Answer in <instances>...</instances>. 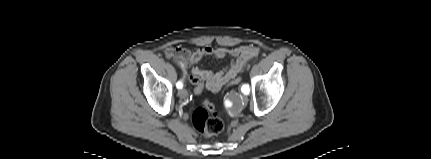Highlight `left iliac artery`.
I'll return each mask as SVG.
<instances>
[{
    "instance_id": "left-iliac-artery-1",
    "label": "left iliac artery",
    "mask_w": 431,
    "mask_h": 159,
    "mask_svg": "<svg viewBox=\"0 0 431 159\" xmlns=\"http://www.w3.org/2000/svg\"><path fill=\"white\" fill-rule=\"evenodd\" d=\"M241 91L244 93V94H249V86L248 85H243L242 87H241Z\"/></svg>"
}]
</instances>
